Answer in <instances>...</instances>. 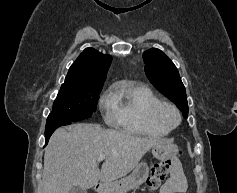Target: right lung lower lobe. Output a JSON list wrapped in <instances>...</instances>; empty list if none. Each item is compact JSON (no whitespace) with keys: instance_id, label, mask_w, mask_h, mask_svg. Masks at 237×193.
Returning <instances> with one entry per match:
<instances>
[{"instance_id":"right-lung-lower-lobe-1","label":"right lung lower lobe","mask_w":237,"mask_h":193,"mask_svg":"<svg viewBox=\"0 0 237 193\" xmlns=\"http://www.w3.org/2000/svg\"><path fill=\"white\" fill-rule=\"evenodd\" d=\"M72 121L67 119L59 118V117H52L48 116L45 128V141L46 144L49 141L52 133L60 126L69 125Z\"/></svg>"}]
</instances>
